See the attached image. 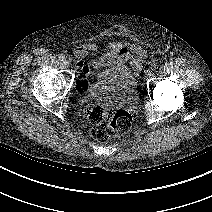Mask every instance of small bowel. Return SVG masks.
Here are the masks:
<instances>
[{
    "mask_svg": "<svg viewBox=\"0 0 212 212\" xmlns=\"http://www.w3.org/2000/svg\"><path fill=\"white\" fill-rule=\"evenodd\" d=\"M98 51H100V47L96 43H85L76 48L75 54L77 57L83 58ZM145 57V53L140 48H134L123 42H111L104 50L103 55L96 58L92 65L101 68L129 64L134 71H138L144 63Z\"/></svg>",
    "mask_w": 212,
    "mask_h": 212,
    "instance_id": "c3829d8e",
    "label": "small bowel"
}]
</instances>
